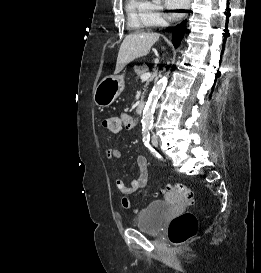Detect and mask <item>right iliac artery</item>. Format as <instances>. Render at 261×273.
I'll return each instance as SVG.
<instances>
[{"label": "right iliac artery", "instance_id": "obj_1", "mask_svg": "<svg viewBox=\"0 0 261 273\" xmlns=\"http://www.w3.org/2000/svg\"><path fill=\"white\" fill-rule=\"evenodd\" d=\"M143 142L153 155H155L157 158H161L159 153L156 152L155 149L150 145V133L148 129H143Z\"/></svg>", "mask_w": 261, "mask_h": 273}]
</instances>
